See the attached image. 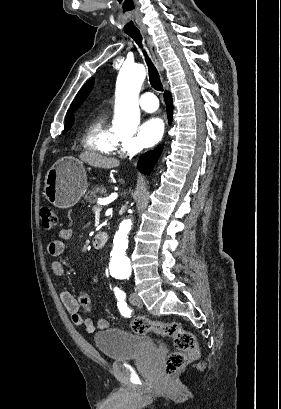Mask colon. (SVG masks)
<instances>
[{
    "label": "colon",
    "instance_id": "colon-1",
    "mask_svg": "<svg viewBox=\"0 0 281 409\" xmlns=\"http://www.w3.org/2000/svg\"><path fill=\"white\" fill-rule=\"evenodd\" d=\"M40 211L43 227L48 230L56 228L57 214L54 207L42 205ZM131 328L140 334L153 333L173 338L178 352L170 353L167 356L165 361L166 372H175L182 369L190 360L198 355V351L195 348L194 335L190 331L185 330L180 324L163 323L137 315L131 322Z\"/></svg>",
    "mask_w": 281,
    "mask_h": 409
}]
</instances>
